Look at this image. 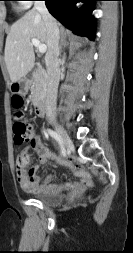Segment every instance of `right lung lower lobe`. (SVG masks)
Listing matches in <instances>:
<instances>
[{"instance_id":"98d812e1","label":"right lung lower lobe","mask_w":133,"mask_h":253,"mask_svg":"<svg viewBox=\"0 0 133 253\" xmlns=\"http://www.w3.org/2000/svg\"><path fill=\"white\" fill-rule=\"evenodd\" d=\"M97 0H45L49 12L68 29L87 36H95V19L92 16V3ZM84 2L85 6L77 9L75 4Z\"/></svg>"}]
</instances>
